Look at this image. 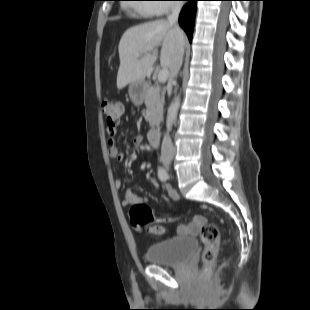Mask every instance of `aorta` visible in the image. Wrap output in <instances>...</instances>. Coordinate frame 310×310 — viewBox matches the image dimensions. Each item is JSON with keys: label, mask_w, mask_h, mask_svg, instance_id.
I'll return each mask as SVG.
<instances>
[{"label": "aorta", "mask_w": 310, "mask_h": 310, "mask_svg": "<svg viewBox=\"0 0 310 310\" xmlns=\"http://www.w3.org/2000/svg\"><path fill=\"white\" fill-rule=\"evenodd\" d=\"M179 105H180V98L179 97H175L174 101L172 102V104L170 105L169 109H168V114H167V128L170 129L176 119L177 113H178V109H179Z\"/></svg>", "instance_id": "obj_1"}]
</instances>
